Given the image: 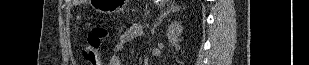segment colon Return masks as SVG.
Listing matches in <instances>:
<instances>
[{"label": "colon", "mask_w": 309, "mask_h": 65, "mask_svg": "<svg viewBox=\"0 0 309 65\" xmlns=\"http://www.w3.org/2000/svg\"><path fill=\"white\" fill-rule=\"evenodd\" d=\"M107 37V30L104 27L94 28L87 36L83 47V56L91 65H101V46Z\"/></svg>", "instance_id": "colon-1"}]
</instances>
